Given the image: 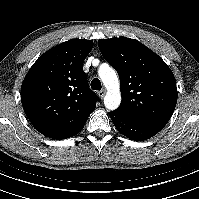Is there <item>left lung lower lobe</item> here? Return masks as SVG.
<instances>
[{
  "label": "left lung lower lobe",
  "instance_id": "obj_1",
  "mask_svg": "<svg viewBox=\"0 0 199 199\" xmlns=\"http://www.w3.org/2000/svg\"><path fill=\"white\" fill-rule=\"evenodd\" d=\"M109 115L117 130L131 140H147L159 132L157 129L133 121L116 110Z\"/></svg>",
  "mask_w": 199,
  "mask_h": 199
}]
</instances>
